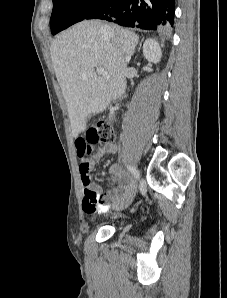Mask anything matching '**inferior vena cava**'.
Listing matches in <instances>:
<instances>
[{"label": "inferior vena cava", "mask_w": 227, "mask_h": 298, "mask_svg": "<svg viewBox=\"0 0 227 298\" xmlns=\"http://www.w3.org/2000/svg\"><path fill=\"white\" fill-rule=\"evenodd\" d=\"M102 29H103V31H108L109 30V26L107 24H104L102 26ZM128 60H129V58H128Z\"/></svg>", "instance_id": "602c4592"}]
</instances>
